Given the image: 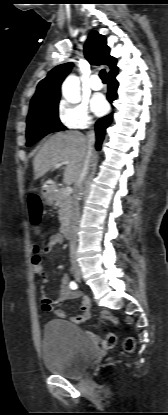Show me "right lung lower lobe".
Returning <instances> with one entry per match:
<instances>
[{
    "label": "right lung lower lobe",
    "mask_w": 168,
    "mask_h": 415,
    "mask_svg": "<svg viewBox=\"0 0 168 415\" xmlns=\"http://www.w3.org/2000/svg\"><path fill=\"white\" fill-rule=\"evenodd\" d=\"M117 73H118V70L108 75L109 85H108L107 99L109 102H112L117 97V89H118V82L116 80ZM111 120H112V114L105 116L103 118H100L95 124V131H96L95 147L98 151L101 149V145L104 139L106 128L111 123Z\"/></svg>",
    "instance_id": "1"
}]
</instances>
